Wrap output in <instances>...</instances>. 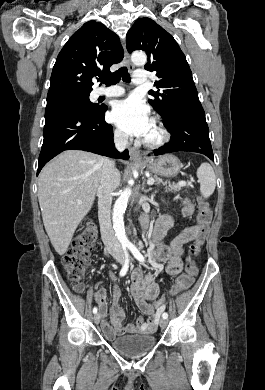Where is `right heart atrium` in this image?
I'll list each match as a JSON object with an SVG mask.
<instances>
[{"mask_svg": "<svg viewBox=\"0 0 265 390\" xmlns=\"http://www.w3.org/2000/svg\"><path fill=\"white\" fill-rule=\"evenodd\" d=\"M114 136H115L116 141H118V142L123 143L126 140L125 135L123 133H121L119 130H115Z\"/></svg>", "mask_w": 265, "mask_h": 390, "instance_id": "right-heart-atrium-1", "label": "right heart atrium"}]
</instances>
